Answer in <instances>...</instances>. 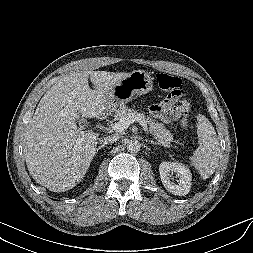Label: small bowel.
Listing matches in <instances>:
<instances>
[{
    "mask_svg": "<svg viewBox=\"0 0 253 253\" xmlns=\"http://www.w3.org/2000/svg\"><path fill=\"white\" fill-rule=\"evenodd\" d=\"M177 99L171 96L165 98L162 102L152 105L150 113L165 123L179 119L183 115L181 106H176Z\"/></svg>",
    "mask_w": 253,
    "mask_h": 253,
    "instance_id": "c3829d8e",
    "label": "small bowel"
}]
</instances>
